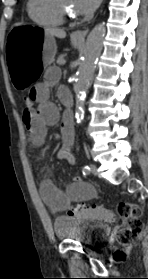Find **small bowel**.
Listing matches in <instances>:
<instances>
[{
  "label": "small bowel",
  "instance_id": "obj_1",
  "mask_svg": "<svg viewBox=\"0 0 148 279\" xmlns=\"http://www.w3.org/2000/svg\"><path fill=\"white\" fill-rule=\"evenodd\" d=\"M60 78V70L56 67L49 68L41 83L36 84L29 91L36 108L25 106L22 112L23 122L30 134L32 142L39 146L43 143L47 129L60 121L58 107L49 100L50 88L54 87ZM58 98L64 103L70 99L69 91L65 87L57 90ZM72 114L65 111L62 116L63 145L57 153V158L73 164L75 159L71 151L72 140ZM40 193L45 204L53 211H64L72 202L85 201L95 195L93 187L79 177H73L65 191L60 190L51 181L45 180L40 185Z\"/></svg>",
  "mask_w": 148,
  "mask_h": 279
}]
</instances>
